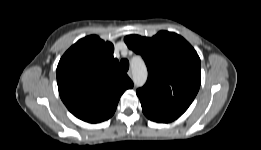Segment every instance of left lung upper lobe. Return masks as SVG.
<instances>
[{
	"mask_svg": "<svg viewBox=\"0 0 261 150\" xmlns=\"http://www.w3.org/2000/svg\"><path fill=\"white\" fill-rule=\"evenodd\" d=\"M124 41L142 55L148 68L146 84L137 89L140 101L181 116L200 87V58L194 48L167 31L152 38L128 35Z\"/></svg>",
	"mask_w": 261,
	"mask_h": 150,
	"instance_id": "obj_1",
	"label": "left lung upper lobe"
}]
</instances>
